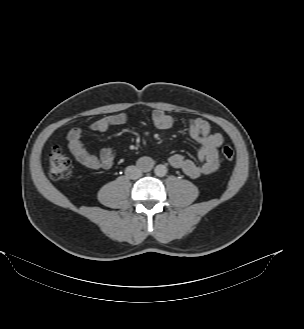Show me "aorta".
<instances>
[{"label": "aorta", "mask_w": 304, "mask_h": 329, "mask_svg": "<svg viewBox=\"0 0 304 329\" xmlns=\"http://www.w3.org/2000/svg\"><path fill=\"white\" fill-rule=\"evenodd\" d=\"M154 172L157 176L163 177L167 173V168L165 165L159 164L155 167Z\"/></svg>", "instance_id": "1"}]
</instances>
